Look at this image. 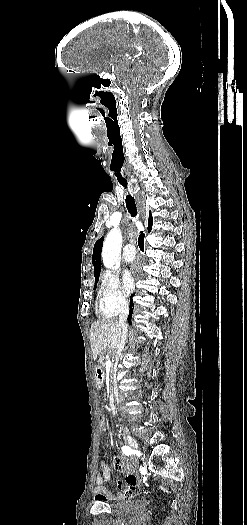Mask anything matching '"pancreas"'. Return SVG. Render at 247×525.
Returning a JSON list of instances; mask_svg holds the SVG:
<instances>
[{
  "label": "pancreas",
  "instance_id": "1",
  "mask_svg": "<svg viewBox=\"0 0 247 525\" xmlns=\"http://www.w3.org/2000/svg\"><path fill=\"white\" fill-rule=\"evenodd\" d=\"M99 358H100L101 364H105V361H104L103 355H99ZM114 369H115V367H114V365H113V367H111V375H113V373H114Z\"/></svg>",
  "mask_w": 247,
  "mask_h": 525
}]
</instances>
